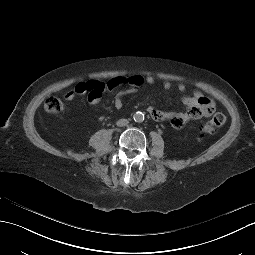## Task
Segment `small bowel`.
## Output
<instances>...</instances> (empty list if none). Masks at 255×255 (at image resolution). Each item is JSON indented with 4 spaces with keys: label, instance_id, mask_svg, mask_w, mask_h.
<instances>
[{
    "label": "small bowel",
    "instance_id": "1",
    "mask_svg": "<svg viewBox=\"0 0 255 255\" xmlns=\"http://www.w3.org/2000/svg\"><path fill=\"white\" fill-rule=\"evenodd\" d=\"M155 82L152 76L135 75L131 77H116L107 83L97 80H89L86 82H79L75 85L72 91L65 95L67 101H71L76 96H87L88 101L96 104L100 101L102 94L106 91H113L120 89L123 86H128L126 89H120L114 99V106L117 109L123 106V97L126 94L135 92L140 86L144 84H153ZM164 89H170L172 83L169 80L162 82ZM179 92H184L186 87L183 83H178L176 86ZM183 104L187 107L184 112H163L154 107H148L147 111L150 116L156 121L169 120L173 128H182L188 121L197 120L202 117H209L215 110V103L205 97L201 92L196 91L191 95L184 96Z\"/></svg>",
    "mask_w": 255,
    "mask_h": 255
}]
</instances>
